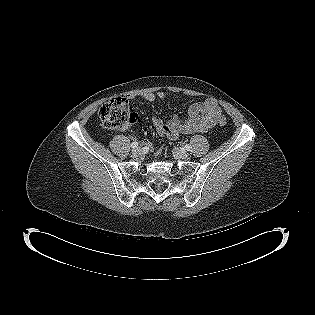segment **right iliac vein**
<instances>
[{"label":"right iliac vein","instance_id":"right-iliac-vein-1","mask_svg":"<svg viewBox=\"0 0 315 315\" xmlns=\"http://www.w3.org/2000/svg\"><path fill=\"white\" fill-rule=\"evenodd\" d=\"M141 153H142V149L139 148V147L132 151V154H133L134 157H137V156L141 155Z\"/></svg>","mask_w":315,"mask_h":315}]
</instances>
